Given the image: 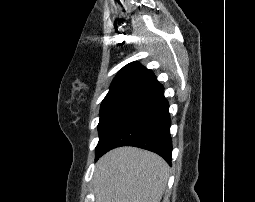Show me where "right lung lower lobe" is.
<instances>
[{
    "instance_id": "obj_1",
    "label": "right lung lower lobe",
    "mask_w": 255,
    "mask_h": 202,
    "mask_svg": "<svg viewBox=\"0 0 255 202\" xmlns=\"http://www.w3.org/2000/svg\"><path fill=\"white\" fill-rule=\"evenodd\" d=\"M170 125L168 101L162 98L137 112L114 135L102 155L119 146H135L159 154L170 164Z\"/></svg>"
}]
</instances>
